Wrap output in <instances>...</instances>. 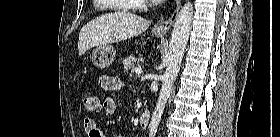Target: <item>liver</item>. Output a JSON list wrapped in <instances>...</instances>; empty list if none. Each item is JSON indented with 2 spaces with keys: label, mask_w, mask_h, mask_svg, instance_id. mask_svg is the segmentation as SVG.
<instances>
[{
  "label": "liver",
  "mask_w": 280,
  "mask_h": 137,
  "mask_svg": "<svg viewBox=\"0 0 280 137\" xmlns=\"http://www.w3.org/2000/svg\"><path fill=\"white\" fill-rule=\"evenodd\" d=\"M150 24L151 21L124 11L96 17L80 30L79 55H83L92 47L124 41L141 34Z\"/></svg>",
  "instance_id": "6515ba94"
}]
</instances>
